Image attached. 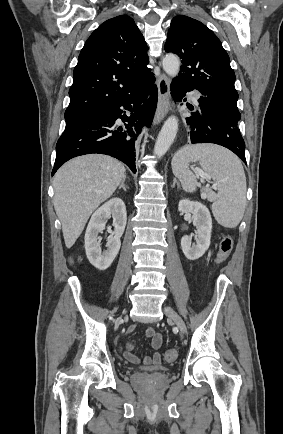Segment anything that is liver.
Listing matches in <instances>:
<instances>
[{"mask_svg": "<svg viewBox=\"0 0 283 434\" xmlns=\"http://www.w3.org/2000/svg\"><path fill=\"white\" fill-rule=\"evenodd\" d=\"M124 175L122 163L102 154L76 157L57 171L53 181L54 208L67 248L74 245L90 215L112 196Z\"/></svg>", "mask_w": 283, "mask_h": 434, "instance_id": "1", "label": "liver"}]
</instances>
